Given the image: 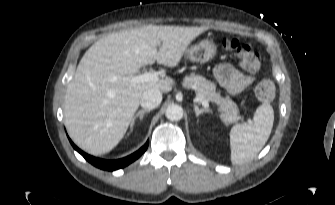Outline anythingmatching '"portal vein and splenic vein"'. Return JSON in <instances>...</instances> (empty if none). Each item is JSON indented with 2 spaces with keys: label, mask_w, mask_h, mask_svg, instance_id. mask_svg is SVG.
<instances>
[{
  "label": "portal vein and splenic vein",
  "mask_w": 335,
  "mask_h": 205,
  "mask_svg": "<svg viewBox=\"0 0 335 205\" xmlns=\"http://www.w3.org/2000/svg\"><path fill=\"white\" fill-rule=\"evenodd\" d=\"M150 81H153V82L159 81L158 73L153 72V71H148V72H145L141 75H137V76L131 78V82H133V83L150 82ZM200 102L202 103V105L204 107L209 106L208 101L203 96L200 97Z\"/></svg>",
  "instance_id": "obj_1"
}]
</instances>
